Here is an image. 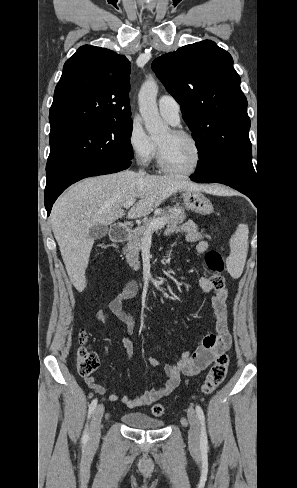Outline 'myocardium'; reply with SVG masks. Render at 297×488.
Instances as JSON below:
<instances>
[{
  "instance_id": "1",
  "label": "myocardium",
  "mask_w": 297,
  "mask_h": 488,
  "mask_svg": "<svg viewBox=\"0 0 297 488\" xmlns=\"http://www.w3.org/2000/svg\"><path fill=\"white\" fill-rule=\"evenodd\" d=\"M171 133L175 136L184 137L190 140L196 151V160L193 166L188 170H176L171 168L165 161L162 147L157 143L156 146V158L160 169L168 174L176 176H190L198 171L203 161V151L198 139L190 132L183 129H172Z\"/></svg>"
}]
</instances>
